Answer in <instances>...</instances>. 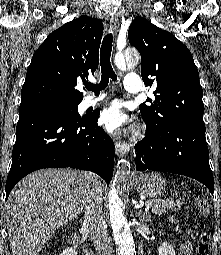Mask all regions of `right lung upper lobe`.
Listing matches in <instances>:
<instances>
[{
    "label": "right lung upper lobe",
    "instance_id": "cb5924a9",
    "mask_svg": "<svg viewBox=\"0 0 221 255\" xmlns=\"http://www.w3.org/2000/svg\"><path fill=\"white\" fill-rule=\"evenodd\" d=\"M103 24L83 15L64 24L34 53L21 90L20 110L46 103L81 102L75 87L98 67Z\"/></svg>",
    "mask_w": 221,
    "mask_h": 255
}]
</instances>
